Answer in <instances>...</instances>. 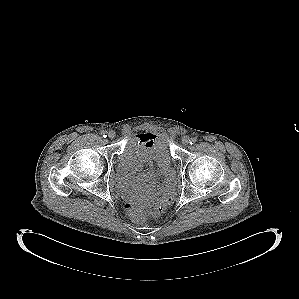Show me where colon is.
<instances>
[{
	"instance_id": "1",
	"label": "colon",
	"mask_w": 299,
	"mask_h": 299,
	"mask_svg": "<svg viewBox=\"0 0 299 299\" xmlns=\"http://www.w3.org/2000/svg\"><path fill=\"white\" fill-rule=\"evenodd\" d=\"M173 200L171 196L165 198L159 205L148 211L147 213L136 209L132 204H126L125 210L129 214L130 217L134 219L142 218L145 214H149L151 216H160L164 213L166 206Z\"/></svg>"
}]
</instances>
